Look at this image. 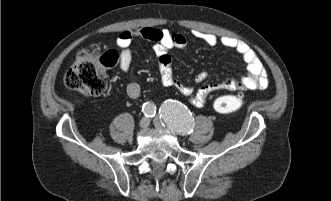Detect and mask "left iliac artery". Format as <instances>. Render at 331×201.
I'll return each instance as SVG.
<instances>
[{
  "label": "left iliac artery",
  "instance_id": "44dca946",
  "mask_svg": "<svg viewBox=\"0 0 331 201\" xmlns=\"http://www.w3.org/2000/svg\"><path fill=\"white\" fill-rule=\"evenodd\" d=\"M160 116L164 125L180 135L193 131L194 118L185 105L176 100H166L160 107Z\"/></svg>",
  "mask_w": 331,
  "mask_h": 201
}]
</instances>
